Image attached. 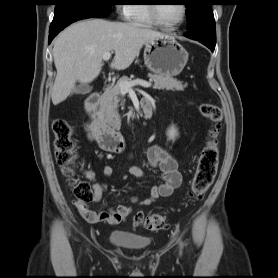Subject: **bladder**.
I'll return each mask as SVG.
<instances>
[{"label":"bladder","instance_id":"obj_1","mask_svg":"<svg viewBox=\"0 0 278 278\" xmlns=\"http://www.w3.org/2000/svg\"><path fill=\"white\" fill-rule=\"evenodd\" d=\"M110 243L126 250H142L150 245V238L141 235H135L124 231H113L109 236Z\"/></svg>","mask_w":278,"mask_h":278}]
</instances>
